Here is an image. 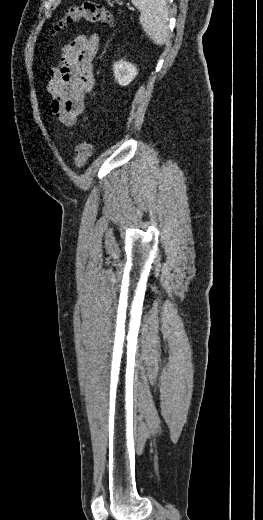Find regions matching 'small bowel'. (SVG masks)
<instances>
[{"mask_svg":"<svg viewBox=\"0 0 263 520\" xmlns=\"http://www.w3.org/2000/svg\"><path fill=\"white\" fill-rule=\"evenodd\" d=\"M98 47L97 35L78 36L63 47L57 65L49 71V108L66 126L76 123L85 109L86 96L94 87L92 61Z\"/></svg>","mask_w":263,"mask_h":520,"instance_id":"1","label":"small bowel"}]
</instances>
